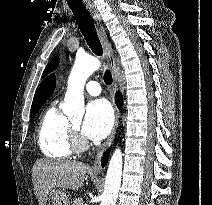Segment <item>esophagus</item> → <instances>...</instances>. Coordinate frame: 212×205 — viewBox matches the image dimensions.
I'll return each instance as SVG.
<instances>
[{"instance_id": "esophagus-1", "label": "esophagus", "mask_w": 212, "mask_h": 205, "mask_svg": "<svg viewBox=\"0 0 212 205\" xmlns=\"http://www.w3.org/2000/svg\"><path fill=\"white\" fill-rule=\"evenodd\" d=\"M86 7L88 9V11L90 12L94 22H95V26L97 29V33L98 36L100 38L101 44L103 46V50L106 56V59L108 61L109 64V68L112 74V78H113V91H115L117 89V84H118V72H117V59L111 49L107 34H106V29L102 23L101 20V16L99 14V12L96 10V8L94 7L93 4L91 3H87ZM116 109V118H115V124L114 127L112 129L111 134L109 135L108 139L106 140V142L103 144L101 150L99 151L94 164L92 166L91 172L94 174H98L101 171V155L103 154V152L105 151V149L110 145L111 141L113 140L116 131H117V127L119 124V111L117 108Z\"/></svg>"}]
</instances>
